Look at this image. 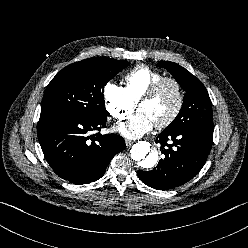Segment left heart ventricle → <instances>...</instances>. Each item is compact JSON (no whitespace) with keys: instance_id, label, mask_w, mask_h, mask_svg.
I'll list each match as a JSON object with an SVG mask.
<instances>
[{"instance_id":"obj_1","label":"left heart ventricle","mask_w":248,"mask_h":248,"mask_svg":"<svg viewBox=\"0 0 248 248\" xmlns=\"http://www.w3.org/2000/svg\"><path fill=\"white\" fill-rule=\"evenodd\" d=\"M176 105L177 92L175 86L166 82L153 98L140 104L138 110L146 113L155 125L169 117Z\"/></svg>"}]
</instances>
